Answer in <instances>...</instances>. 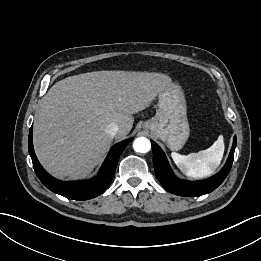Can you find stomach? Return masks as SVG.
I'll return each instance as SVG.
<instances>
[{
    "mask_svg": "<svg viewBox=\"0 0 261 261\" xmlns=\"http://www.w3.org/2000/svg\"><path fill=\"white\" fill-rule=\"evenodd\" d=\"M143 129L160 138L171 150L184 146L190 129L184 94L178 85L172 84L169 89L159 93L157 113L143 123Z\"/></svg>",
    "mask_w": 261,
    "mask_h": 261,
    "instance_id": "obj_1",
    "label": "stomach"
}]
</instances>
